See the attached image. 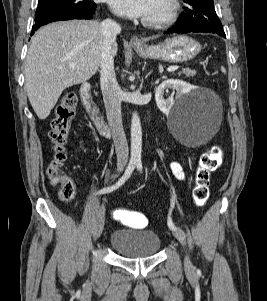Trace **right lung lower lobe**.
I'll use <instances>...</instances> for the list:
<instances>
[{
    "mask_svg": "<svg viewBox=\"0 0 267 301\" xmlns=\"http://www.w3.org/2000/svg\"><path fill=\"white\" fill-rule=\"evenodd\" d=\"M95 9L93 10H87L84 12H56L52 13L46 16H43L41 18L36 19L35 25L32 27L33 31L31 34H34V31L37 30L40 26H43L47 23L54 22V21H60V20H70V19H91L93 18V14L95 13Z\"/></svg>",
    "mask_w": 267,
    "mask_h": 301,
    "instance_id": "right-lung-lower-lobe-1",
    "label": "right lung lower lobe"
}]
</instances>
